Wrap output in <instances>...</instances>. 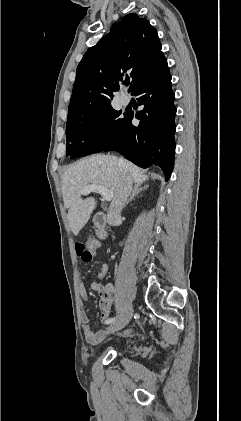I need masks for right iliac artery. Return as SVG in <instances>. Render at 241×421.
Masks as SVG:
<instances>
[{"mask_svg": "<svg viewBox=\"0 0 241 421\" xmlns=\"http://www.w3.org/2000/svg\"><path fill=\"white\" fill-rule=\"evenodd\" d=\"M116 320V318H109L105 323L110 324L113 323Z\"/></svg>", "mask_w": 241, "mask_h": 421, "instance_id": "1", "label": "right iliac artery"}]
</instances>
